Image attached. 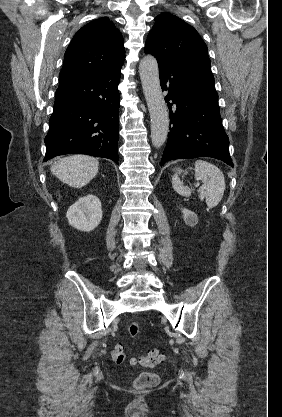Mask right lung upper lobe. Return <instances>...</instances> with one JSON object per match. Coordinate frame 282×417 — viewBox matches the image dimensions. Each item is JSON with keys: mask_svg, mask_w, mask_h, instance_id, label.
<instances>
[{"mask_svg": "<svg viewBox=\"0 0 282 417\" xmlns=\"http://www.w3.org/2000/svg\"><path fill=\"white\" fill-rule=\"evenodd\" d=\"M125 60L123 37L107 17L78 30L68 46L59 86L120 69Z\"/></svg>", "mask_w": 282, "mask_h": 417, "instance_id": "cb5924a9", "label": "right lung upper lobe"}]
</instances>
